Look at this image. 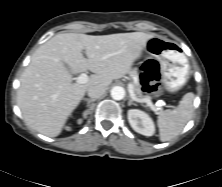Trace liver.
Wrapping results in <instances>:
<instances>
[{
	"label": "liver",
	"instance_id": "obj_1",
	"mask_svg": "<svg viewBox=\"0 0 222 187\" xmlns=\"http://www.w3.org/2000/svg\"><path fill=\"white\" fill-rule=\"evenodd\" d=\"M153 36L132 32L52 37L34 52L20 79L17 104L25 123L43 135L58 136L86 91L96 85L106 88L129 73L136 55ZM87 70L94 73L87 83H72L71 73Z\"/></svg>",
	"mask_w": 222,
	"mask_h": 187
}]
</instances>
